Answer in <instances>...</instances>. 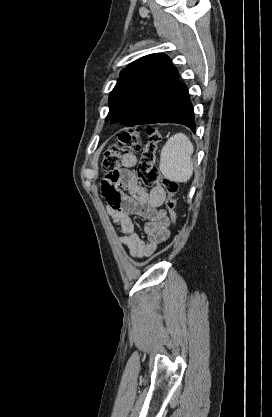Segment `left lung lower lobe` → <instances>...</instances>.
I'll return each mask as SVG.
<instances>
[{
    "instance_id": "0a47b994",
    "label": "left lung lower lobe",
    "mask_w": 272,
    "mask_h": 417,
    "mask_svg": "<svg viewBox=\"0 0 272 417\" xmlns=\"http://www.w3.org/2000/svg\"><path fill=\"white\" fill-rule=\"evenodd\" d=\"M193 107L185 84L178 81L175 87L164 97L152 114L141 124L179 123L195 132Z\"/></svg>"
}]
</instances>
